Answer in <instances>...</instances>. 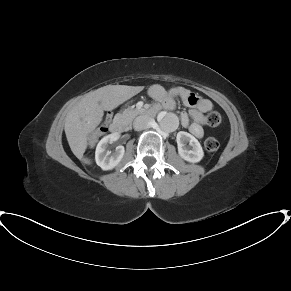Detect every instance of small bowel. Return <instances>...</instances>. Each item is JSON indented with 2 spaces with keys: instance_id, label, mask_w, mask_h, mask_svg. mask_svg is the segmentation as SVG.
Returning a JSON list of instances; mask_svg holds the SVG:
<instances>
[{
  "instance_id": "obj_1",
  "label": "small bowel",
  "mask_w": 291,
  "mask_h": 291,
  "mask_svg": "<svg viewBox=\"0 0 291 291\" xmlns=\"http://www.w3.org/2000/svg\"><path fill=\"white\" fill-rule=\"evenodd\" d=\"M149 96L157 103V107L172 110L176 106V98H180L186 106L191 108L190 116L183 113L180 116L181 124L196 138L204 135L206 113L210 111L213 104L210 100L195 95L189 89L182 86H175L165 90L161 85H152L149 89Z\"/></svg>"
}]
</instances>
